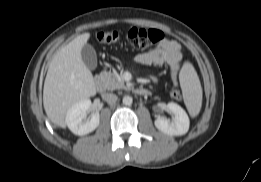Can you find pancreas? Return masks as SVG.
Wrapping results in <instances>:
<instances>
[{
  "label": "pancreas",
  "instance_id": "obj_1",
  "mask_svg": "<svg viewBox=\"0 0 261 182\" xmlns=\"http://www.w3.org/2000/svg\"><path fill=\"white\" fill-rule=\"evenodd\" d=\"M100 77L103 80L104 86L108 90H116V89H126L123 80L116 72H106L103 71L100 73Z\"/></svg>",
  "mask_w": 261,
  "mask_h": 182
}]
</instances>
